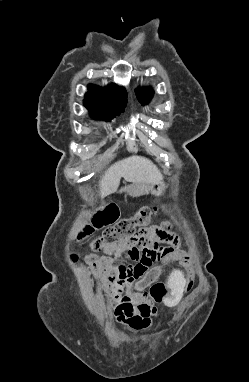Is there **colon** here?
<instances>
[{"mask_svg": "<svg viewBox=\"0 0 249 382\" xmlns=\"http://www.w3.org/2000/svg\"><path fill=\"white\" fill-rule=\"evenodd\" d=\"M158 210L157 207L145 206L139 209L132 217L116 222L118 208L115 204L111 203L106 205L103 209L94 212L88 221L77 231L76 236L82 238L96 229L106 227L104 233L91 242L93 250H100L107 245L125 240L140 241L141 238H138V232L147 228ZM140 249L143 250V257L140 259V262H134L127 273L130 277L139 279L142 282H152L150 296L152 299L159 298L161 301L163 296L167 293L166 287L163 283L154 281L159 272L164 271L163 267L169 266L170 262H163V267H158L157 269L151 268L152 265L163 258L186 262L188 260V255L184 250H165L159 246L157 248ZM72 258L75 260L76 256H73ZM172 266L176 267L177 263L173 262ZM153 312L156 313V310Z\"/></svg>", "mask_w": 249, "mask_h": 382, "instance_id": "1", "label": "colon"}]
</instances>
